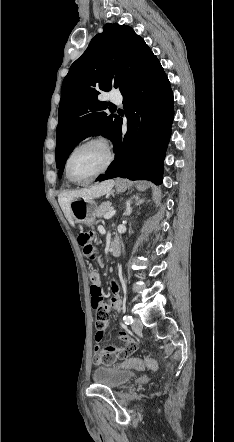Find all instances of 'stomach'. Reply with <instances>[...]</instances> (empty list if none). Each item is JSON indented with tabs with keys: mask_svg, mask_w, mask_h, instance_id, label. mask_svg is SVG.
<instances>
[{
	"mask_svg": "<svg viewBox=\"0 0 234 442\" xmlns=\"http://www.w3.org/2000/svg\"><path fill=\"white\" fill-rule=\"evenodd\" d=\"M145 185H139V190H144ZM127 189V183L125 181H117L116 190L118 192H124ZM70 209L74 222L92 226L97 211V204L93 200L75 199L70 203Z\"/></svg>",
	"mask_w": 234,
	"mask_h": 442,
	"instance_id": "1",
	"label": "stomach"
}]
</instances>
